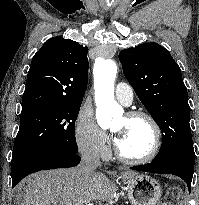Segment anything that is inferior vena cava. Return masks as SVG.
Returning a JSON list of instances; mask_svg holds the SVG:
<instances>
[{"label": "inferior vena cava", "instance_id": "602c4592", "mask_svg": "<svg viewBox=\"0 0 199 205\" xmlns=\"http://www.w3.org/2000/svg\"><path fill=\"white\" fill-rule=\"evenodd\" d=\"M101 166L99 153L94 149H83L81 151V163L79 171L85 178H91L96 173L95 170Z\"/></svg>", "mask_w": 199, "mask_h": 205}]
</instances>
